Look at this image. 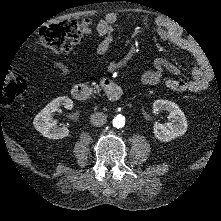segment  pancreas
<instances>
[{
	"mask_svg": "<svg viewBox=\"0 0 221 221\" xmlns=\"http://www.w3.org/2000/svg\"><path fill=\"white\" fill-rule=\"evenodd\" d=\"M88 90L90 91V94H93V93L99 92L101 89L99 88L98 85H95L94 88L88 87Z\"/></svg>",
	"mask_w": 221,
	"mask_h": 221,
	"instance_id": "pancreas-1",
	"label": "pancreas"
}]
</instances>
